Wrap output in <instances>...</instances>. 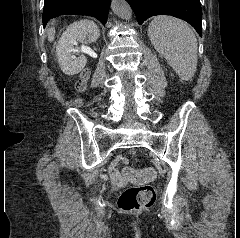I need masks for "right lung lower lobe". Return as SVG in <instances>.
I'll list each match as a JSON object with an SVG mask.
<instances>
[{"instance_id":"right-lung-lower-lobe-1","label":"right lung lower lobe","mask_w":240,"mask_h":238,"mask_svg":"<svg viewBox=\"0 0 240 238\" xmlns=\"http://www.w3.org/2000/svg\"><path fill=\"white\" fill-rule=\"evenodd\" d=\"M110 2L111 0H45L43 26H46L49 19L63 14L94 16L105 25Z\"/></svg>"}]
</instances>
